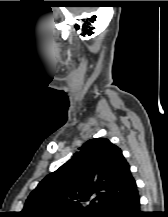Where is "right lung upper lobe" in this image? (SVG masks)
Here are the masks:
<instances>
[{
	"instance_id": "obj_1",
	"label": "right lung upper lobe",
	"mask_w": 168,
	"mask_h": 217,
	"mask_svg": "<svg viewBox=\"0 0 168 217\" xmlns=\"http://www.w3.org/2000/svg\"><path fill=\"white\" fill-rule=\"evenodd\" d=\"M137 189L119 147L106 138L87 141L74 156L47 175L27 198L20 217L88 215ZM90 204L83 207V203Z\"/></svg>"
}]
</instances>
